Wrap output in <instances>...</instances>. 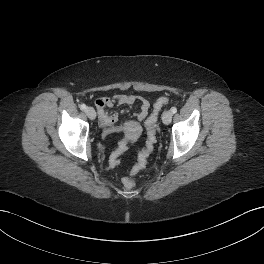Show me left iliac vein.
Wrapping results in <instances>:
<instances>
[{
  "label": "left iliac vein",
  "instance_id": "obj_1",
  "mask_svg": "<svg viewBox=\"0 0 264 264\" xmlns=\"http://www.w3.org/2000/svg\"><path fill=\"white\" fill-rule=\"evenodd\" d=\"M173 113L170 110H167L162 115L163 123L168 125L171 123Z\"/></svg>",
  "mask_w": 264,
  "mask_h": 264
}]
</instances>
